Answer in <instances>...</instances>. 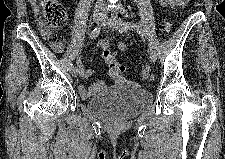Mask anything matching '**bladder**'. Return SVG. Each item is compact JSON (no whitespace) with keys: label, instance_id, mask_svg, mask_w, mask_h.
I'll return each instance as SVG.
<instances>
[{"label":"bladder","instance_id":"bladder-1","mask_svg":"<svg viewBox=\"0 0 225 159\" xmlns=\"http://www.w3.org/2000/svg\"><path fill=\"white\" fill-rule=\"evenodd\" d=\"M151 103V93L134 85L110 87L87 101L89 110L105 120L131 119Z\"/></svg>","mask_w":225,"mask_h":159}]
</instances>
